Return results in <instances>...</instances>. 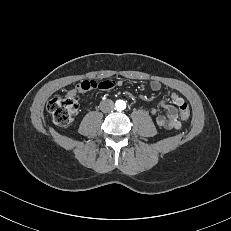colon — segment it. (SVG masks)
<instances>
[{
	"label": "colon",
	"instance_id": "1",
	"mask_svg": "<svg viewBox=\"0 0 231 231\" xmlns=\"http://www.w3.org/2000/svg\"><path fill=\"white\" fill-rule=\"evenodd\" d=\"M78 103L79 95L75 91L59 94L52 98L47 105V110L54 124L59 126L68 125L78 109ZM180 117L183 120L189 119L190 109L187 103L180 107Z\"/></svg>",
	"mask_w": 231,
	"mask_h": 231
}]
</instances>
